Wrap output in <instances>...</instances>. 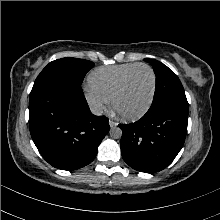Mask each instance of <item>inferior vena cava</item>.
<instances>
[{
	"label": "inferior vena cava",
	"instance_id": "602c4592",
	"mask_svg": "<svg viewBox=\"0 0 220 220\" xmlns=\"http://www.w3.org/2000/svg\"><path fill=\"white\" fill-rule=\"evenodd\" d=\"M89 107H90V111H91L92 114L97 115V116L102 115V113H103L102 104L92 103V104L89 105Z\"/></svg>",
	"mask_w": 220,
	"mask_h": 220
}]
</instances>
